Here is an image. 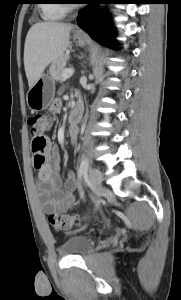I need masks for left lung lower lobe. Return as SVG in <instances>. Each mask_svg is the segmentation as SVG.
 I'll return each instance as SVG.
<instances>
[{
    "instance_id": "1",
    "label": "left lung lower lobe",
    "mask_w": 181,
    "mask_h": 300,
    "mask_svg": "<svg viewBox=\"0 0 181 300\" xmlns=\"http://www.w3.org/2000/svg\"><path fill=\"white\" fill-rule=\"evenodd\" d=\"M116 0H88V6L78 15L77 24L93 39L101 44L112 47L115 36L108 19L98 13L97 4H116Z\"/></svg>"
}]
</instances>
